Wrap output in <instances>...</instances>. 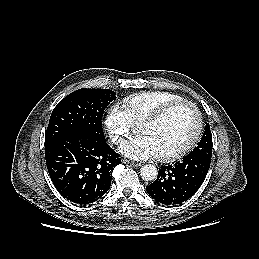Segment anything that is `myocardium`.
<instances>
[{
	"instance_id": "1",
	"label": "myocardium",
	"mask_w": 259,
	"mask_h": 259,
	"mask_svg": "<svg viewBox=\"0 0 259 259\" xmlns=\"http://www.w3.org/2000/svg\"><path fill=\"white\" fill-rule=\"evenodd\" d=\"M179 106H188L195 112L196 118H197L196 129L193 135L191 136V138L181 148L171 153L158 155L157 158L161 161L171 162V161L177 160L183 157L184 155H186L192 149V147L197 143L203 131V125H204L203 116L200 109L194 103L185 99L174 101L164 105L163 107H161L160 109H158L157 111L153 112L148 117L143 119L141 122V124H155L160 120H162L166 115H168L171 111H173L175 108Z\"/></svg>"
}]
</instances>
